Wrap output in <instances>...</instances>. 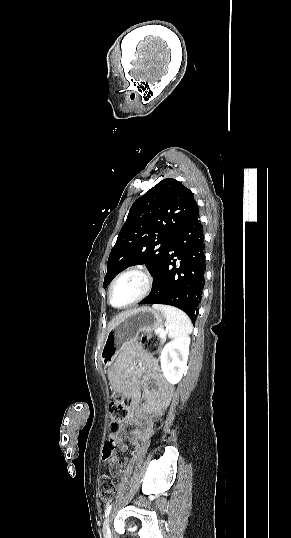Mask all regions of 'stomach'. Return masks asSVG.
I'll list each match as a JSON object with an SVG mask.
<instances>
[{"label":"stomach","mask_w":291,"mask_h":538,"mask_svg":"<svg viewBox=\"0 0 291 538\" xmlns=\"http://www.w3.org/2000/svg\"><path fill=\"white\" fill-rule=\"evenodd\" d=\"M164 314L149 307H141L130 312L107 333L100 359L106 367L108 363H119V352L133 343L139 332H151L163 324Z\"/></svg>","instance_id":"obj_1"}]
</instances>
